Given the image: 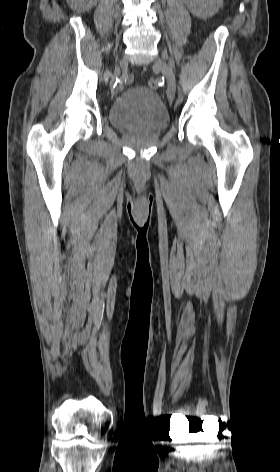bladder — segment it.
Returning a JSON list of instances; mask_svg holds the SVG:
<instances>
[{"label": "bladder", "mask_w": 280, "mask_h": 472, "mask_svg": "<svg viewBox=\"0 0 280 472\" xmlns=\"http://www.w3.org/2000/svg\"><path fill=\"white\" fill-rule=\"evenodd\" d=\"M108 117L119 129L161 132L169 125V113L161 98L143 86H132L112 102Z\"/></svg>", "instance_id": "1"}]
</instances>
